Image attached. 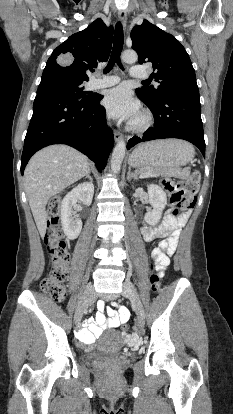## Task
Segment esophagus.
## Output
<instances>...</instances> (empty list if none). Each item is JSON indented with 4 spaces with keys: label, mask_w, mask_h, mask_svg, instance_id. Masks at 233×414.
<instances>
[{
    "label": "esophagus",
    "mask_w": 233,
    "mask_h": 414,
    "mask_svg": "<svg viewBox=\"0 0 233 414\" xmlns=\"http://www.w3.org/2000/svg\"><path fill=\"white\" fill-rule=\"evenodd\" d=\"M118 17L122 25L125 27L127 23V12L125 10H119ZM114 139L116 142L122 139V134L118 130L114 131Z\"/></svg>",
    "instance_id": "esophagus-1"
}]
</instances>
